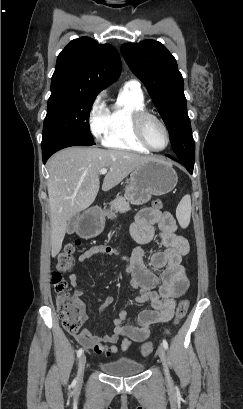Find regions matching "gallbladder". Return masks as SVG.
<instances>
[{
	"label": "gallbladder",
	"mask_w": 243,
	"mask_h": 409,
	"mask_svg": "<svg viewBox=\"0 0 243 409\" xmlns=\"http://www.w3.org/2000/svg\"><path fill=\"white\" fill-rule=\"evenodd\" d=\"M79 220V213L74 215L67 223L66 233L71 235L76 231Z\"/></svg>",
	"instance_id": "obj_1"
}]
</instances>
